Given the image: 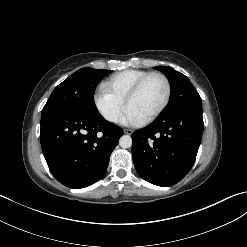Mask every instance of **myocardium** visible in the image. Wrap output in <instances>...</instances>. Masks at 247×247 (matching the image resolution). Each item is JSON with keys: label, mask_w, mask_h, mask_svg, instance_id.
Instances as JSON below:
<instances>
[{"label": "myocardium", "mask_w": 247, "mask_h": 247, "mask_svg": "<svg viewBox=\"0 0 247 247\" xmlns=\"http://www.w3.org/2000/svg\"><path fill=\"white\" fill-rule=\"evenodd\" d=\"M160 77L163 79L166 85V95L164 101L160 105V107L154 111L151 115L144 119L143 123H149L154 121L168 106L171 96H172V85L169 78L162 72H150L144 77H142L137 83L130 89L125 98V105L128 107L129 102L139 93L143 85L151 78V77Z\"/></svg>", "instance_id": "myocardium-1"}]
</instances>
